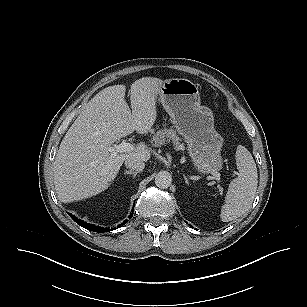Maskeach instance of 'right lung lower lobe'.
<instances>
[{
    "mask_svg": "<svg viewBox=\"0 0 307 307\" xmlns=\"http://www.w3.org/2000/svg\"><path fill=\"white\" fill-rule=\"evenodd\" d=\"M133 211L134 209L132 210V213L130 214V216L132 217L133 216ZM68 215L77 223L79 224L80 226L90 230V231H94V232H98V233H103V232H108V231H111V230H114L116 228H112V229H106V228H101V227H98V226H95V225H91L89 223H86L80 219H78L77 217H75L74 215H72L71 213H68ZM128 220H125L124 223H122L121 225H124L125 223H127ZM121 225H119L117 228H119Z\"/></svg>",
    "mask_w": 307,
    "mask_h": 307,
    "instance_id": "1",
    "label": "right lung lower lobe"
}]
</instances>
